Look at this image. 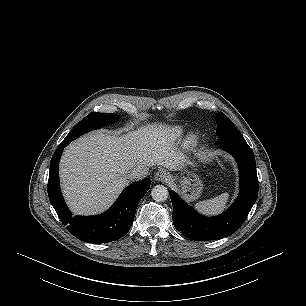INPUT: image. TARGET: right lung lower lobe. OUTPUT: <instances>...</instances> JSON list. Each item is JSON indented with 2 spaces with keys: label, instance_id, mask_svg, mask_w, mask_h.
Masks as SVG:
<instances>
[{
  "label": "right lung lower lobe",
  "instance_id": "1",
  "mask_svg": "<svg viewBox=\"0 0 306 306\" xmlns=\"http://www.w3.org/2000/svg\"><path fill=\"white\" fill-rule=\"evenodd\" d=\"M68 143L59 145L50 162L48 195L59 219L79 240L88 243H106L120 239L131 228L136 208L150 188V179L146 178L126 187L116 203L106 212L97 216H75L66 206L59 185V160L63 148Z\"/></svg>",
  "mask_w": 306,
  "mask_h": 306
}]
</instances>
